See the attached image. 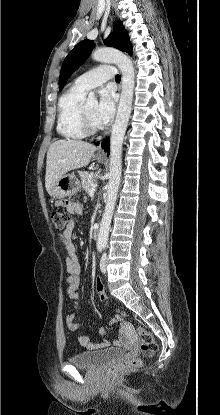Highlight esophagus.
Returning <instances> with one entry per match:
<instances>
[{
	"label": "esophagus",
	"instance_id": "34e87169",
	"mask_svg": "<svg viewBox=\"0 0 220 415\" xmlns=\"http://www.w3.org/2000/svg\"><path fill=\"white\" fill-rule=\"evenodd\" d=\"M98 153H99V154H104V151L102 150V148H99V149H98Z\"/></svg>",
	"mask_w": 220,
	"mask_h": 415
}]
</instances>
